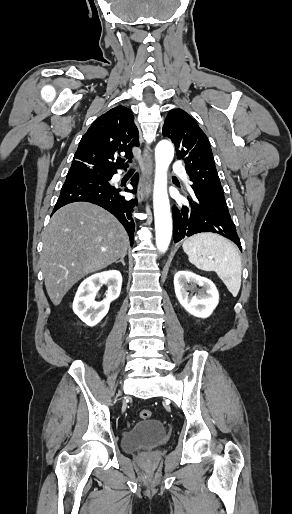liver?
Wrapping results in <instances>:
<instances>
[{
  "label": "liver",
  "instance_id": "liver-1",
  "mask_svg": "<svg viewBox=\"0 0 292 514\" xmlns=\"http://www.w3.org/2000/svg\"><path fill=\"white\" fill-rule=\"evenodd\" d=\"M42 240L41 272L54 306L78 280L126 256L129 244L122 224L88 202L60 208L42 232Z\"/></svg>",
  "mask_w": 292,
  "mask_h": 514
}]
</instances>
